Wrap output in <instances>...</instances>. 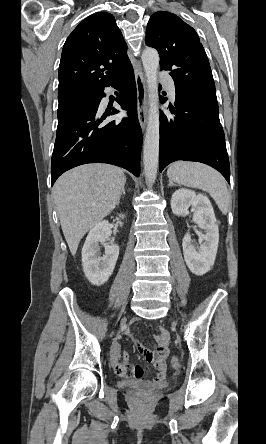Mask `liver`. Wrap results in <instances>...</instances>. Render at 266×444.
I'll use <instances>...</instances> for the list:
<instances>
[{
	"label": "liver",
	"mask_w": 266,
	"mask_h": 444,
	"mask_svg": "<svg viewBox=\"0 0 266 444\" xmlns=\"http://www.w3.org/2000/svg\"><path fill=\"white\" fill-rule=\"evenodd\" d=\"M125 182L122 169L98 163L76 167L58 178L53 195L72 255L82 237L113 211Z\"/></svg>",
	"instance_id": "6515ba94"
}]
</instances>
